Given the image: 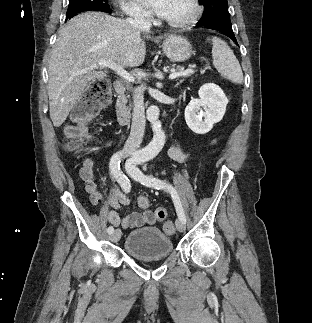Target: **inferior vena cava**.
Instances as JSON below:
<instances>
[{"label":"inferior vena cava","instance_id":"obj_1","mask_svg":"<svg viewBox=\"0 0 312 323\" xmlns=\"http://www.w3.org/2000/svg\"><path fill=\"white\" fill-rule=\"evenodd\" d=\"M129 16L130 18H126L124 22L133 28L136 36H140L141 32L150 30L151 22L147 20V14L144 10H141V8H134ZM143 92V86H140V88L135 90L131 132L125 144V148H138L143 140L146 122Z\"/></svg>","mask_w":312,"mask_h":323}]
</instances>
